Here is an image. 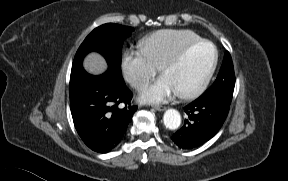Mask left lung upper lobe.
<instances>
[{
    "instance_id": "obj_1",
    "label": "left lung upper lobe",
    "mask_w": 288,
    "mask_h": 181,
    "mask_svg": "<svg viewBox=\"0 0 288 181\" xmlns=\"http://www.w3.org/2000/svg\"><path fill=\"white\" fill-rule=\"evenodd\" d=\"M235 85V75L231 56L226 51L224 60L213 85L199 97L200 99H218L230 105Z\"/></svg>"
}]
</instances>
